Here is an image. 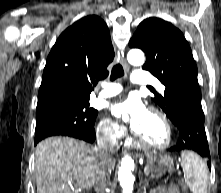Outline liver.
<instances>
[{
    "label": "liver",
    "mask_w": 221,
    "mask_h": 193,
    "mask_svg": "<svg viewBox=\"0 0 221 193\" xmlns=\"http://www.w3.org/2000/svg\"><path fill=\"white\" fill-rule=\"evenodd\" d=\"M37 193H78L95 184L100 152L97 147L67 137H50L35 151ZM115 166L111 158L109 170Z\"/></svg>",
    "instance_id": "obj_1"
}]
</instances>
